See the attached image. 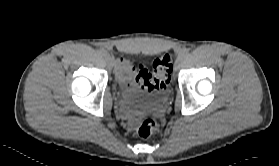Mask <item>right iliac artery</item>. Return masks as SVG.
I'll use <instances>...</instances> for the list:
<instances>
[{"label": "right iliac artery", "mask_w": 279, "mask_h": 166, "mask_svg": "<svg viewBox=\"0 0 279 166\" xmlns=\"http://www.w3.org/2000/svg\"><path fill=\"white\" fill-rule=\"evenodd\" d=\"M99 54L105 56L107 55V51L105 49H100Z\"/></svg>", "instance_id": "82829eb1"}]
</instances>
